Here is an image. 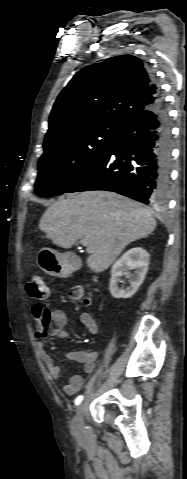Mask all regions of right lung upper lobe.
<instances>
[{"label": "right lung upper lobe", "mask_w": 187, "mask_h": 479, "mask_svg": "<svg viewBox=\"0 0 187 479\" xmlns=\"http://www.w3.org/2000/svg\"><path fill=\"white\" fill-rule=\"evenodd\" d=\"M160 98L145 64L135 56H116L88 66L76 73L59 94L44 145L79 130L121 129Z\"/></svg>", "instance_id": "obj_1"}]
</instances>
